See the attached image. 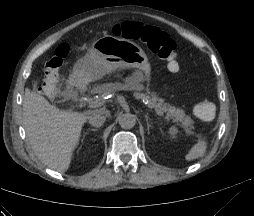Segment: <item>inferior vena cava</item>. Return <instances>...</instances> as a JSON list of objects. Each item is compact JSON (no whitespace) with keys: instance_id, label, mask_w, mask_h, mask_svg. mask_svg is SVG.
<instances>
[{"instance_id":"1","label":"inferior vena cava","mask_w":254,"mask_h":216,"mask_svg":"<svg viewBox=\"0 0 254 216\" xmlns=\"http://www.w3.org/2000/svg\"><path fill=\"white\" fill-rule=\"evenodd\" d=\"M106 116L101 113H94L89 117V123L94 127H100L104 124Z\"/></svg>"}]
</instances>
